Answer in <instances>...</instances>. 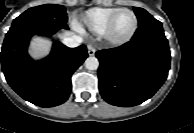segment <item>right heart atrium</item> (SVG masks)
<instances>
[{
    "label": "right heart atrium",
    "instance_id": "1",
    "mask_svg": "<svg viewBox=\"0 0 194 133\" xmlns=\"http://www.w3.org/2000/svg\"><path fill=\"white\" fill-rule=\"evenodd\" d=\"M72 25L74 29H76L77 31H80V32L82 31V26L77 21H74Z\"/></svg>",
    "mask_w": 194,
    "mask_h": 133
}]
</instances>
